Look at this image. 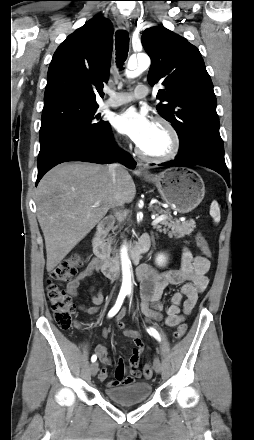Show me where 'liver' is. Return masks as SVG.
<instances>
[{"instance_id":"1","label":"liver","mask_w":254,"mask_h":440,"mask_svg":"<svg viewBox=\"0 0 254 440\" xmlns=\"http://www.w3.org/2000/svg\"><path fill=\"white\" fill-rule=\"evenodd\" d=\"M135 194L133 179L123 167L115 184L106 165L64 163L50 170L36 190L47 271H52L110 208L131 203ZM96 202L100 205L93 207Z\"/></svg>"}]
</instances>
